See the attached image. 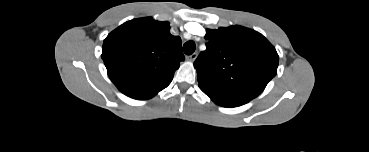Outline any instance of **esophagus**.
Here are the masks:
<instances>
[{
    "label": "esophagus",
    "mask_w": 369,
    "mask_h": 152,
    "mask_svg": "<svg viewBox=\"0 0 369 152\" xmlns=\"http://www.w3.org/2000/svg\"><path fill=\"white\" fill-rule=\"evenodd\" d=\"M197 58V53H193L190 56L187 57L188 61L194 62Z\"/></svg>",
    "instance_id": "34e87169"
}]
</instances>
